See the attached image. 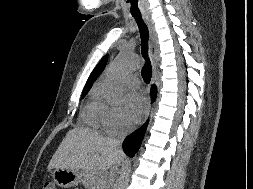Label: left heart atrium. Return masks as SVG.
Returning a JSON list of instances; mask_svg holds the SVG:
<instances>
[{
  "label": "left heart atrium",
  "mask_w": 253,
  "mask_h": 189,
  "mask_svg": "<svg viewBox=\"0 0 253 189\" xmlns=\"http://www.w3.org/2000/svg\"><path fill=\"white\" fill-rule=\"evenodd\" d=\"M146 108L145 99L138 93L129 94L122 115L124 126L136 124L142 117Z\"/></svg>",
  "instance_id": "1"
}]
</instances>
